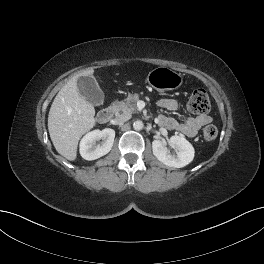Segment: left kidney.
Instances as JSON below:
<instances>
[{"mask_svg":"<svg viewBox=\"0 0 264 264\" xmlns=\"http://www.w3.org/2000/svg\"><path fill=\"white\" fill-rule=\"evenodd\" d=\"M167 144L173 148H178L176 154H172L167 148ZM153 155L163 164L169 167L182 168L190 164L194 159V148L185 138L175 135L167 142L154 140L152 142Z\"/></svg>","mask_w":264,"mask_h":264,"instance_id":"obj_1","label":"left kidney"}]
</instances>
